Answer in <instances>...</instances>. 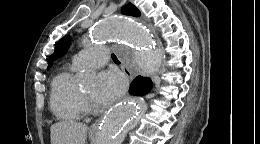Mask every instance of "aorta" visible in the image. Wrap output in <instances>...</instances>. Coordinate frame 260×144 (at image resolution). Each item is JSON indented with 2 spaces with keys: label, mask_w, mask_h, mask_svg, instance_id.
Returning <instances> with one entry per match:
<instances>
[{
  "label": "aorta",
  "mask_w": 260,
  "mask_h": 144,
  "mask_svg": "<svg viewBox=\"0 0 260 144\" xmlns=\"http://www.w3.org/2000/svg\"><path fill=\"white\" fill-rule=\"evenodd\" d=\"M89 38L95 42L111 40L123 42L128 48L121 51L120 58L127 65L136 67L142 73L153 74L160 67L161 62L157 58L161 54L160 46L155 42L148 29L133 18L104 19L96 25ZM135 50L150 56L137 58ZM82 78L92 82L95 73L85 71ZM145 108V100L141 97L128 98L113 107L100 125L95 144H122L127 133L140 123Z\"/></svg>",
  "instance_id": "762f6f07"
}]
</instances>
